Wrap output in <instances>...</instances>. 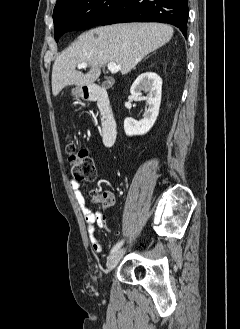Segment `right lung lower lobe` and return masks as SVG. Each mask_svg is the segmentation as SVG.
<instances>
[{
    "instance_id": "obj_1",
    "label": "right lung lower lobe",
    "mask_w": 240,
    "mask_h": 329,
    "mask_svg": "<svg viewBox=\"0 0 240 329\" xmlns=\"http://www.w3.org/2000/svg\"><path fill=\"white\" fill-rule=\"evenodd\" d=\"M188 12V0H126L101 25L162 22L176 26L186 37Z\"/></svg>"
}]
</instances>
